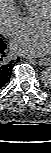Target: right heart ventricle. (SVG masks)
<instances>
[{"label":"right heart ventricle","instance_id":"1","mask_svg":"<svg viewBox=\"0 0 51 153\" xmlns=\"http://www.w3.org/2000/svg\"><path fill=\"white\" fill-rule=\"evenodd\" d=\"M22 5L26 13L36 16L51 5V0H22Z\"/></svg>","mask_w":51,"mask_h":153}]
</instances>
